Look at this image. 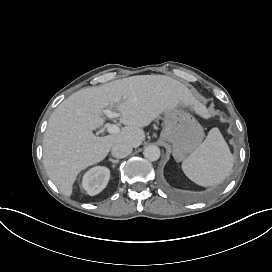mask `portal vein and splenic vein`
Listing matches in <instances>:
<instances>
[{"instance_id":"18ae733b","label":"portal vein and splenic vein","mask_w":272,"mask_h":272,"mask_svg":"<svg viewBox=\"0 0 272 272\" xmlns=\"http://www.w3.org/2000/svg\"><path fill=\"white\" fill-rule=\"evenodd\" d=\"M103 113L109 118H115V117L119 116L118 113H114V112L110 111L109 109L103 110ZM119 131H120V128L115 124H111L108 127V132H110V133H118Z\"/></svg>"}]
</instances>
